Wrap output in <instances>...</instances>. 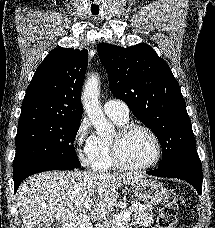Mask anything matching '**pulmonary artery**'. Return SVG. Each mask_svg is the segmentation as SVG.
<instances>
[{
    "label": "pulmonary artery",
    "instance_id": "1",
    "mask_svg": "<svg viewBox=\"0 0 215 228\" xmlns=\"http://www.w3.org/2000/svg\"><path fill=\"white\" fill-rule=\"evenodd\" d=\"M104 110L109 115H116L123 119L129 118V107L121 100H108L104 105Z\"/></svg>",
    "mask_w": 215,
    "mask_h": 228
}]
</instances>
